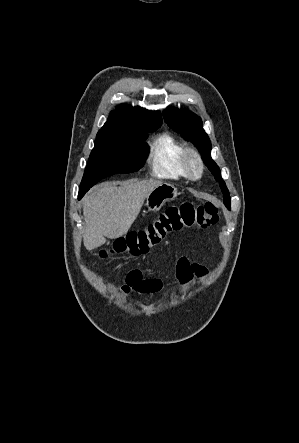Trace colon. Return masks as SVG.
Here are the masks:
<instances>
[{
    "mask_svg": "<svg viewBox=\"0 0 299 443\" xmlns=\"http://www.w3.org/2000/svg\"><path fill=\"white\" fill-rule=\"evenodd\" d=\"M219 220V210L216 204L206 202L196 205L183 202L179 206L167 208L159 217L146 228L133 231L117 238L113 244L101 251L102 257L114 254H129L139 256L159 244L167 234L184 228H207Z\"/></svg>",
    "mask_w": 299,
    "mask_h": 443,
    "instance_id": "obj_1",
    "label": "colon"
}]
</instances>
